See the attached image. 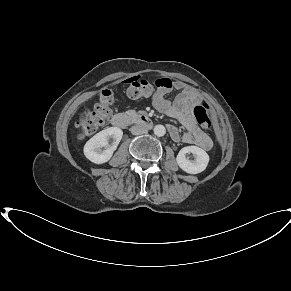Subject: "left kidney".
<instances>
[{
	"label": "left kidney",
	"mask_w": 291,
	"mask_h": 291,
	"mask_svg": "<svg viewBox=\"0 0 291 291\" xmlns=\"http://www.w3.org/2000/svg\"><path fill=\"white\" fill-rule=\"evenodd\" d=\"M187 154H193L194 159H189ZM176 162L186 173L198 174L206 169L209 163V156L206 151L197 146H187L179 151Z\"/></svg>",
	"instance_id": "obj_1"
}]
</instances>
